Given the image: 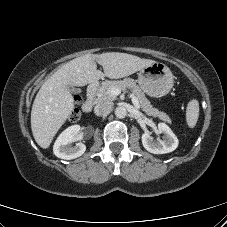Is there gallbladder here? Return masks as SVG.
Wrapping results in <instances>:
<instances>
[{
  "label": "gallbladder",
  "mask_w": 227,
  "mask_h": 227,
  "mask_svg": "<svg viewBox=\"0 0 227 227\" xmlns=\"http://www.w3.org/2000/svg\"><path fill=\"white\" fill-rule=\"evenodd\" d=\"M68 89L73 92V93H76L78 90L76 88H74L73 86L71 85H68Z\"/></svg>",
  "instance_id": "obj_1"
}]
</instances>
